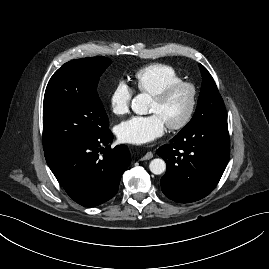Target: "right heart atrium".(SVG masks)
<instances>
[{
    "label": "right heart atrium",
    "instance_id": "d8ad5b80",
    "mask_svg": "<svg viewBox=\"0 0 269 269\" xmlns=\"http://www.w3.org/2000/svg\"><path fill=\"white\" fill-rule=\"evenodd\" d=\"M133 90L123 80L116 83L109 95V107L115 115H123L129 110Z\"/></svg>",
    "mask_w": 269,
    "mask_h": 269
}]
</instances>
